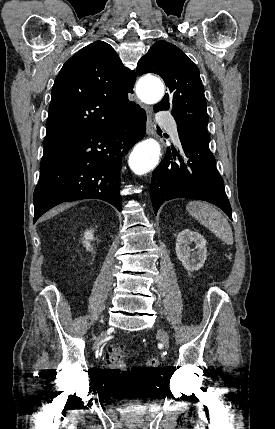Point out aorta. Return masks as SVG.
Instances as JSON below:
<instances>
[{
  "label": "aorta",
  "mask_w": 275,
  "mask_h": 429,
  "mask_svg": "<svg viewBox=\"0 0 275 429\" xmlns=\"http://www.w3.org/2000/svg\"><path fill=\"white\" fill-rule=\"evenodd\" d=\"M164 95L163 83L155 77L143 78L139 82V98L147 103L154 104L159 102ZM160 145L153 139H146L135 146L129 163L133 172L137 175H143L152 170L159 161Z\"/></svg>",
  "instance_id": "aorta-1"
}]
</instances>
